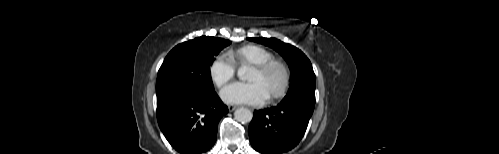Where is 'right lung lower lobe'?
Returning a JSON list of instances; mask_svg holds the SVG:
<instances>
[{
	"label": "right lung lower lobe",
	"mask_w": 499,
	"mask_h": 154,
	"mask_svg": "<svg viewBox=\"0 0 499 154\" xmlns=\"http://www.w3.org/2000/svg\"><path fill=\"white\" fill-rule=\"evenodd\" d=\"M228 113L216 92L184 90L157 95V120L161 131L181 154H200L215 143L217 126Z\"/></svg>",
	"instance_id": "obj_1"
}]
</instances>
